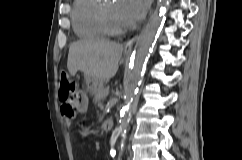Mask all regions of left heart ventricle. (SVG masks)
I'll return each instance as SVG.
<instances>
[{"mask_svg": "<svg viewBox=\"0 0 242 160\" xmlns=\"http://www.w3.org/2000/svg\"><path fill=\"white\" fill-rule=\"evenodd\" d=\"M101 4L106 19L112 27L120 29L126 26L117 11V3L114 0H105Z\"/></svg>", "mask_w": 242, "mask_h": 160, "instance_id": "left-heart-ventricle-1", "label": "left heart ventricle"}]
</instances>
